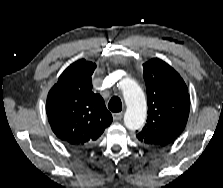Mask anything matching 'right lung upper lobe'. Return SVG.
Here are the masks:
<instances>
[{"label":"right lung upper lobe","instance_id":"1","mask_svg":"<svg viewBox=\"0 0 223 188\" xmlns=\"http://www.w3.org/2000/svg\"><path fill=\"white\" fill-rule=\"evenodd\" d=\"M95 68V63L84 59L71 64L47 97L46 113L53 132L73 148L90 146L112 122L103 98L91 91Z\"/></svg>","mask_w":223,"mask_h":188}]
</instances>
